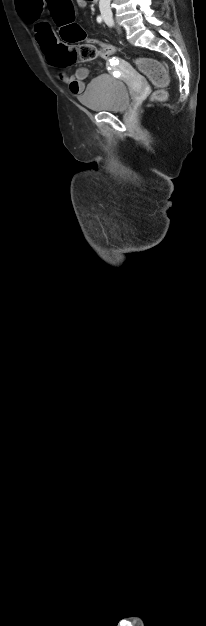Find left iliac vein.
Returning <instances> with one entry per match:
<instances>
[{
    "label": "left iliac vein",
    "instance_id": "4c4485c4",
    "mask_svg": "<svg viewBox=\"0 0 206 626\" xmlns=\"http://www.w3.org/2000/svg\"><path fill=\"white\" fill-rule=\"evenodd\" d=\"M106 23H107V25H109V26H112V25H113L112 23H110V22H107V21H106Z\"/></svg>",
    "mask_w": 206,
    "mask_h": 626
}]
</instances>
